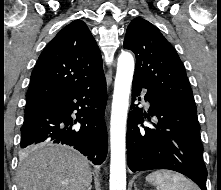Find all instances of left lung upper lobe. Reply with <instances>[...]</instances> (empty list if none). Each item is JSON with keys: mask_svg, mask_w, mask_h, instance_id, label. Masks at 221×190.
<instances>
[{"mask_svg": "<svg viewBox=\"0 0 221 190\" xmlns=\"http://www.w3.org/2000/svg\"><path fill=\"white\" fill-rule=\"evenodd\" d=\"M123 47L135 53L134 78L170 104L196 113L184 65L174 47L154 25L140 17L133 19L127 28Z\"/></svg>", "mask_w": 221, "mask_h": 190, "instance_id": "5c2ea615", "label": "left lung upper lobe"}]
</instances>
